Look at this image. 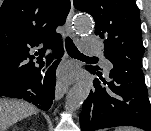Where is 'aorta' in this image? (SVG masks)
<instances>
[{
	"instance_id": "obj_1",
	"label": "aorta",
	"mask_w": 151,
	"mask_h": 131,
	"mask_svg": "<svg viewBox=\"0 0 151 131\" xmlns=\"http://www.w3.org/2000/svg\"><path fill=\"white\" fill-rule=\"evenodd\" d=\"M74 28L79 34H88L92 31L93 24L88 15H80L74 22ZM91 85L86 81L76 83L66 96V108L69 111L78 109L89 96Z\"/></svg>"
}]
</instances>
